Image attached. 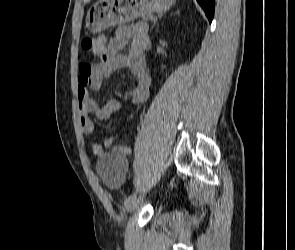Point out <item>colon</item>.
Segmentation results:
<instances>
[{"label":"colon","instance_id":"1","mask_svg":"<svg viewBox=\"0 0 295 250\" xmlns=\"http://www.w3.org/2000/svg\"><path fill=\"white\" fill-rule=\"evenodd\" d=\"M104 44V38L100 36H87L82 41V48L85 51L96 52L99 51Z\"/></svg>","mask_w":295,"mask_h":250}]
</instances>
